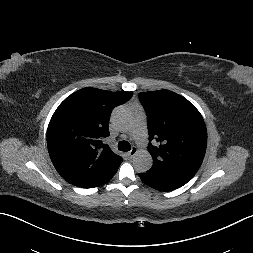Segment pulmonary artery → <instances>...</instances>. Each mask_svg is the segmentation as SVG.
Masks as SVG:
<instances>
[{"instance_id": "1", "label": "pulmonary artery", "mask_w": 253, "mask_h": 253, "mask_svg": "<svg viewBox=\"0 0 253 253\" xmlns=\"http://www.w3.org/2000/svg\"><path fill=\"white\" fill-rule=\"evenodd\" d=\"M134 132L138 136H144V134H143V125L141 123L135 125Z\"/></svg>"}]
</instances>
